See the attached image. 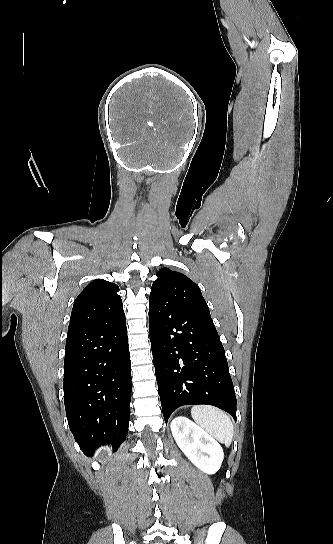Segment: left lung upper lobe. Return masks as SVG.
Segmentation results:
<instances>
[{
  "instance_id": "left-lung-upper-lobe-1",
  "label": "left lung upper lobe",
  "mask_w": 333,
  "mask_h": 544,
  "mask_svg": "<svg viewBox=\"0 0 333 544\" xmlns=\"http://www.w3.org/2000/svg\"><path fill=\"white\" fill-rule=\"evenodd\" d=\"M153 282L149 302L171 305L210 316L208 305L197 284L182 273L162 268Z\"/></svg>"
}]
</instances>
